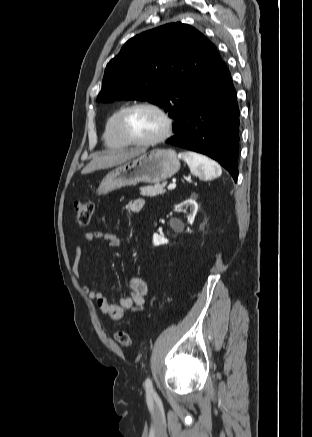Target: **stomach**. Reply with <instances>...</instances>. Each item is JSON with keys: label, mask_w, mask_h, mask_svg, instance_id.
<instances>
[{"label": "stomach", "mask_w": 312, "mask_h": 437, "mask_svg": "<svg viewBox=\"0 0 312 437\" xmlns=\"http://www.w3.org/2000/svg\"><path fill=\"white\" fill-rule=\"evenodd\" d=\"M180 169V161L173 149H155L110 171L100 183L97 193L111 191L138 183H160Z\"/></svg>", "instance_id": "0dacf381"}]
</instances>
